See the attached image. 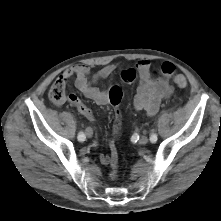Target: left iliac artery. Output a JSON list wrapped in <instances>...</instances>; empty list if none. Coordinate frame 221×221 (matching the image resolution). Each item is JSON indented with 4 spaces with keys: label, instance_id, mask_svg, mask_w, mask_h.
Instances as JSON below:
<instances>
[{
    "label": "left iliac artery",
    "instance_id": "1",
    "mask_svg": "<svg viewBox=\"0 0 221 221\" xmlns=\"http://www.w3.org/2000/svg\"><path fill=\"white\" fill-rule=\"evenodd\" d=\"M157 134L156 133H152L151 136H150V141L152 143H155L157 141Z\"/></svg>",
    "mask_w": 221,
    "mask_h": 221
}]
</instances>
